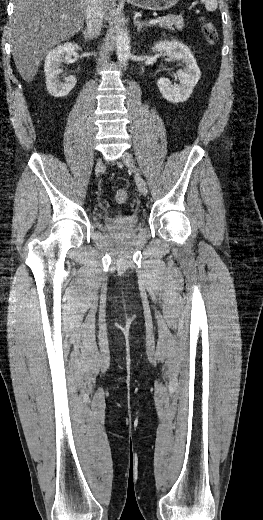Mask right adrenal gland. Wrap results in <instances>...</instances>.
<instances>
[{
    "instance_id": "obj_1",
    "label": "right adrenal gland",
    "mask_w": 263,
    "mask_h": 520,
    "mask_svg": "<svg viewBox=\"0 0 263 520\" xmlns=\"http://www.w3.org/2000/svg\"><path fill=\"white\" fill-rule=\"evenodd\" d=\"M81 31H82V33H83V35H84V39H85V40H90V39H92V38L88 35V33H87V31H86L85 29H81Z\"/></svg>"
}]
</instances>
